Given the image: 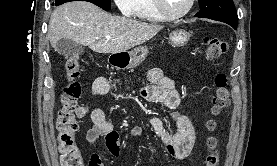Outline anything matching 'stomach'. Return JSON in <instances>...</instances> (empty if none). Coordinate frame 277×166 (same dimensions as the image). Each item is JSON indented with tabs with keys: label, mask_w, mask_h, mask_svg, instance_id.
I'll use <instances>...</instances> for the list:
<instances>
[{
	"label": "stomach",
	"mask_w": 277,
	"mask_h": 166,
	"mask_svg": "<svg viewBox=\"0 0 277 166\" xmlns=\"http://www.w3.org/2000/svg\"><path fill=\"white\" fill-rule=\"evenodd\" d=\"M190 33L178 29L169 35V41L173 46H183L190 39ZM149 50L145 46L137 47L131 51L113 53L109 57V63L117 68L130 69L140 65L147 57Z\"/></svg>",
	"instance_id": "stomach-1"
}]
</instances>
